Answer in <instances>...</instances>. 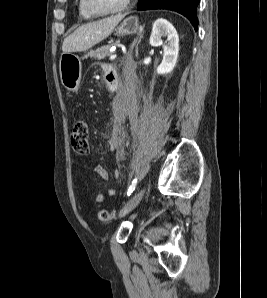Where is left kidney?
I'll return each instance as SVG.
<instances>
[{
    "mask_svg": "<svg viewBox=\"0 0 267 298\" xmlns=\"http://www.w3.org/2000/svg\"><path fill=\"white\" fill-rule=\"evenodd\" d=\"M162 37L167 38L166 44H163ZM150 44L153 47L162 46L164 51L157 73L160 75L171 73L177 63L179 52V36L174 26L165 19L156 20L153 24Z\"/></svg>",
    "mask_w": 267,
    "mask_h": 298,
    "instance_id": "1",
    "label": "left kidney"
}]
</instances>
